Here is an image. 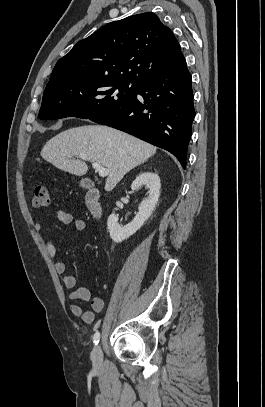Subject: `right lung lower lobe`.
I'll return each instance as SVG.
<instances>
[{
  "instance_id": "1",
  "label": "right lung lower lobe",
  "mask_w": 265,
  "mask_h": 407,
  "mask_svg": "<svg viewBox=\"0 0 265 407\" xmlns=\"http://www.w3.org/2000/svg\"><path fill=\"white\" fill-rule=\"evenodd\" d=\"M194 117L192 78L182 55L167 70L141 82L131 103L90 120L163 148L186 168Z\"/></svg>"
}]
</instances>
